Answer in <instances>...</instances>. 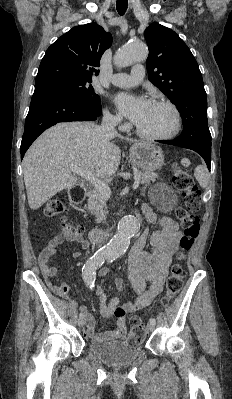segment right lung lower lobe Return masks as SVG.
Instances as JSON below:
<instances>
[{"label": "right lung lower lobe", "mask_w": 232, "mask_h": 399, "mask_svg": "<svg viewBox=\"0 0 232 399\" xmlns=\"http://www.w3.org/2000/svg\"><path fill=\"white\" fill-rule=\"evenodd\" d=\"M102 109L83 104L64 90L37 85L32 96L21 142V159L33 141L47 128L70 121H94Z\"/></svg>", "instance_id": "right-lung-lower-lobe-1"}]
</instances>
